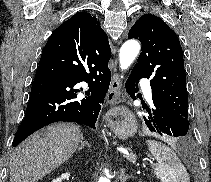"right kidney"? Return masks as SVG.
Wrapping results in <instances>:
<instances>
[{
  "instance_id": "right-kidney-1",
  "label": "right kidney",
  "mask_w": 211,
  "mask_h": 182,
  "mask_svg": "<svg viewBox=\"0 0 211 182\" xmlns=\"http://www.w3.org/2000/svg\"><path fill=\"white\" fill-rule=\"evenodd\" d=\"M69 177V174L68 173H65V174H62L61 177L53 180L52 182H61L63 179H66Z\"/></svg>"
}]
</instances>
